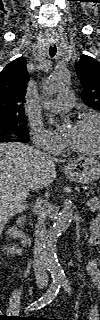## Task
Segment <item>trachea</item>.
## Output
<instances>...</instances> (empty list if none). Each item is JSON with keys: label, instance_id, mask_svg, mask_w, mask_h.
<instances>
[{"label": "trachea", "instance_id": "obj_1", "mask_svg": "<svg viewBox=\"0 0 100 320\" xmlns=\"http://www.w3.org/2000/svg\"><path fill=\"white\" fill-rule=\"evenodd\" d=\"M56 51H57L56 46H51L50 49H49L50 56L51 57L55 56Z\"/></svg>", "mask_w": 100, "mask_h": 320}]
</instances>
